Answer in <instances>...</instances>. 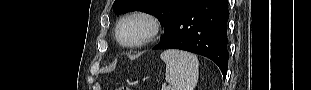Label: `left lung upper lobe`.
Returning <instances> with one entry per match:
<instances>
[{
	"instance_id": "left-lung-upper-lobe-1",
	"label": "left lung upper lobe",
	"mask_w": 311,
	"mask_h": 90,
	"mask_svg": "<svg viewBox=\"0 0 311 90\" xmlns=\"http://www.w3.org/2000/svg\"><path fill=\"white\" fill-rule=\"evenodd\" d=\"M197 0H115L113 11L119 15L139 10L158 17L168 33L178 16Z\"/></svg>"
}]
</instances>
